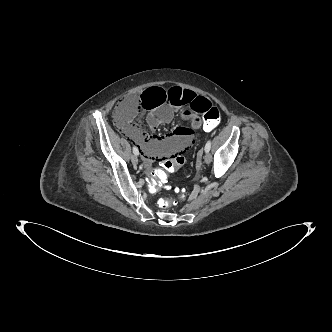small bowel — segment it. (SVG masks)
Returning a JSON list of instances; mask_svg holds the SVG:
<instances>
[{"label": "small bowel", "instance_id": "c3829d8e", "mask_svg": "<svg viewBox=\"0 0 332 332\" xmlns=\"http://www.w3.org/2000/svg\"><path fill=\"white\" fill-rule=\"evenodd\" d=\"M140 112L147 116V123L152 131L159 125L172 120L174 113L180 111L183 120L190 127H180L168 136L147 134L137 125L116 124L120 131L140 148L144 161L152 165L155 161L166 159L176 152L184 151L194 139V130L201 122L199 117L211 101L199 96L192 90L173 86L167 89L161 84L149 85L138 97Z\"/></svg>", "mask_w": 332, "mask_h": 332}]
</instances>
